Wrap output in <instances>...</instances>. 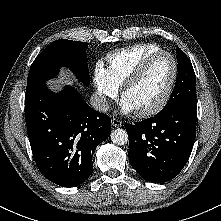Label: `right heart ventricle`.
<instances>
[{
    "mask_svg": "<svg viewBox=\"0 0 221 221\" xmlns=\"http://www.w3.org/2000/svg\"><path fill=\"white\" fill-rule=\"evenodd\" d=\"M153 43H140L115 52L105 57L106 70L117 86H121L129 73L149 54L160 51Z\"/></svg>",
    "mask_w": 221,
    "mask_h": 221,
    "instance_id": "right-heart-ventricle-1",
    "label": "right heart ventricle"
}]
</instances>
